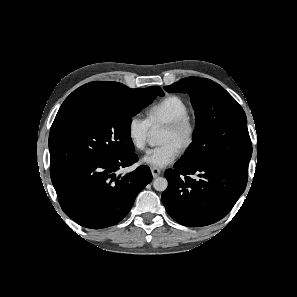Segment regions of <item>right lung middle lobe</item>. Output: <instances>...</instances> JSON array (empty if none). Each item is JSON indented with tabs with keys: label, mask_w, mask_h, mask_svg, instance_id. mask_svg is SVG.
Returning a JSON list of instances; mask_svg holds the SVG:
<instances>
[{
	"label": "right lung middle lobe",
	"mask_w": 297,
	"mask_h": 297,
	"mask_svg": "<svg viewBox=\"0 0 297 297\" xmlns=\"http://www.w3.org/2000/svg\"><path fill=\"white\" fill-rule=\"evenodd\" d=\"M158 95H163L158 86L121 85L111 97L58 112L49 134L50 173L84 159L133 153L132 117Z\"/></svg>",
	"instance_id": "1"
}]
</instances>
